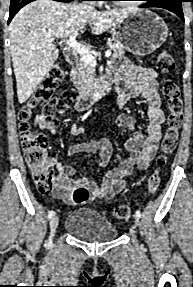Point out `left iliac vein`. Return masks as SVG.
I'll list each match as a JSON object with an SVG mask.
<instances>
[{
	"instance_id": "obj_1",
	"label": "left iliac vein",
	"mask_w": 193,
	"mask_h": 287,
	"mask_svg": "<svg viewBox=\"0 0 193 287\" xmlns=\"http://www.w3.org/2000/svg\"><path fill=\"white\" fill-rule=\"evenodd\" d=\"M134 218H135V226L138 227L140 225L139 218L136 215L134 216Z\"/></svg>"
}]
</instances>
